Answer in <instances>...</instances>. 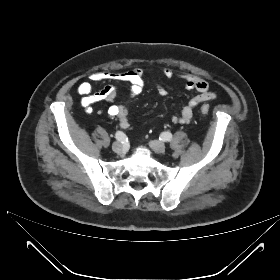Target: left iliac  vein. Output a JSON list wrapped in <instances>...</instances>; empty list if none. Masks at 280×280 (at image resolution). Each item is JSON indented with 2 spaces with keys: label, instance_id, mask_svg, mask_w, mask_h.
<instances>
[{
  "label": "left iliac vein",
  "instance_id": "4c4485c4",
  "mask_svg": "<svg viewBox=\"0 0 280 280\" xmlns=\"http://www.w3.org/2000/svg\"><path fill=\"white\" fill-rule=\"evenodd\" d=\"M150 148L156 153H164L166 150V146L163 142L157 140L149 141Z\"/></svg>",
  "mask_w": 280,
  "mask_h": 280
}]
</instances>
